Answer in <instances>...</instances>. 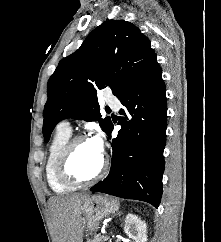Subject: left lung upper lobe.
I'll return each instance as SVG.
<instances>
[{"mask_svg": "<svg viewBox=\"0 0 221 242\" xmlns=\"http://www.w3.org/2000/svg\"><path fill=\"white\" fill-rule=\"evenodd\" d=\"M157 65L149 39L134 24L108 20L95 28L76 52L60 61L48 81L45 141H49L57 123L67 117L99 121L107 133L112 123L109 118H101L97 91L109 87L118 98Z\"/></svg>", "mask_w": 221, "mask_h": 242, "instance_id": "obj_1", "label": "left lung upper lobe"}]
</instances>
